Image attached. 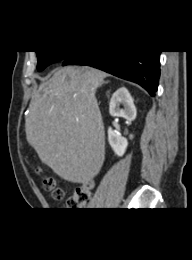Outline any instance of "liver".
Masks as SVG:
<instances>
[{
	"label": "liver",
	"instance_id": "6515ba94",
	"mask_svg": "<svg viewBox=\"0 0 192 260\" xmlns=\"http://www.w3.org/2000/svg\"><path fill=\"white\" fill-rule=\"evenodd\" d=\"M106 76L88 66L60 68L30 102L26 139L40 160L66 181L87 183L102 168L105 132L95 93Z\"/></svg>",
	"mask_w": 192,
	"mask_h": 260
}]
</instances>
